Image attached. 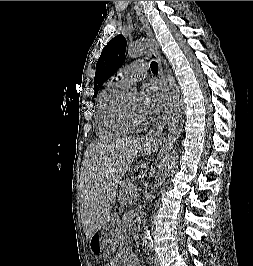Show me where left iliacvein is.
<instances>
[{"label":"left iliac vein","instance_id":"left-iliac-vein-1","mask_svg":"<svg viewBox=\"0 0 253 266\" xmlns=\"http://www.w3.org/2000/svg\"><path fill=\"white\" fill-rule=\"evenodd\" d=\"M154 261H155V265L156 266H161L160 259H159V257L157 255L155 256Z\"/></svg>","mask_w":253,"mask_h":266}]
</instances>
